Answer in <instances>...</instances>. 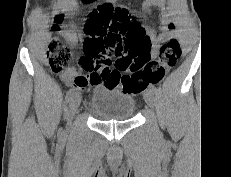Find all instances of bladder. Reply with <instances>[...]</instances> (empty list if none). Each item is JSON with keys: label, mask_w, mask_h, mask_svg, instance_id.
Here are the masks:
<instances>
[{"label": "bladder", "mask_w": 231, "mask_h": 177, "mask_svg": "<svg viewBox=\"0 0 231 177\" xmlns=\"http://www.w3.org/2000/svg\"><path fill=\"white\" fill-rule=\"evenodd\" d=\"M136 102L132 95L108 86H98L91 96L95 115L107 121H125L134 116Z\"/></svg>", "instance_id": "obj_1"}]
</instances>
